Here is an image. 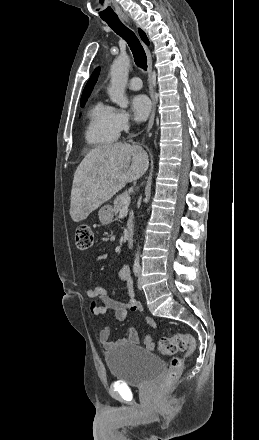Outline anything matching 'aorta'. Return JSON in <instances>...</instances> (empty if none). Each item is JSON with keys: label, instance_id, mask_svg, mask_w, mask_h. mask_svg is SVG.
Instances as JSON below:
<instances>
[{"label": "aorta", "instance_id": "1", "mask_svg": "<svg viewBox=\"0 0 259 440\" xmlns=\"http://www.w3.org/2000/svg\"><path fill=\"white\" fill-rule=\"evenodd\" d=\"M130 68V59L128 55H119L112 63L110 76L111 85L108 89L110 100L125 109L128 107V99L125 96V87L128 81V73ZM136 260H139V252L137 251Z\"/></svg>", "mask_w": 259, "mask_h": 440}]
</instances>
